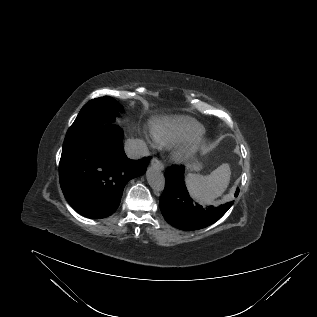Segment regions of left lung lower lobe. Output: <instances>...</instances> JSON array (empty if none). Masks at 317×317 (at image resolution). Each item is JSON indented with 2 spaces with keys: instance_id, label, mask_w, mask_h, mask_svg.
<instances>
[{
  "instance_id": "obj_1",
  "label": "left lung lower lobe",
  "mask_w": 317,
  "mask_h": 317,
  "mask_svg": "<svg viewBox=\"0 0 317 317\" xmlns=\"http://www.w3.org/2000/svg\"><path fill=\"white\" fill-rule=\"evenodd\" d=\"M185 167H171L165 171V189L160 199V209L165 220L181 230H198L218 221L232 206L233 201L214 208L194 202L184 183ZM239 193L236 190L235 196Z\"/></svg>"
}]
</instances>
